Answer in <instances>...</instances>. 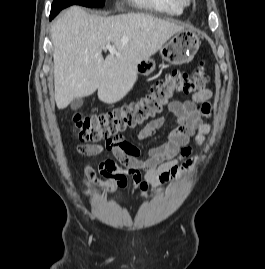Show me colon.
<instances>
[{
    "label": "colon",
    "instance_id": "1",
    "mask_svg": "<svg viewBox=\"0 0 265 269\" xmlns=\"http://www.w3.org/2000/svg\"><path fill=\"white\" fill-rule=\"evenodd\" d=\"M209 80L205 64L192 73L172 71L156 82L139 101L108 113L72 117L75 136L83 142L110 140L161 113L178 94L189 95L205 88Z\"/></svg>",
    "mask_w": 265,
    "mask_h": 269
}]
</instances>
